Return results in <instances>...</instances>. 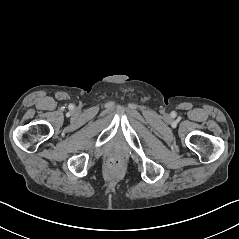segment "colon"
Masks as SVG:
<instances>
[{"mask_svg":"<svg viewBox=\"0 0 239 239\" xmlns=\"http://www.w3.org/2000/svg\"><path fill=\"white\" fill-rule=\"evenodd\" d=\"M120 164H121V161L119 159H112V160H110V165L111 166L117 167Z\"/></svg>","mask_w":239,"mask_h":239,"instance_id":"obj_1","label":"colon"}]
</instances>
